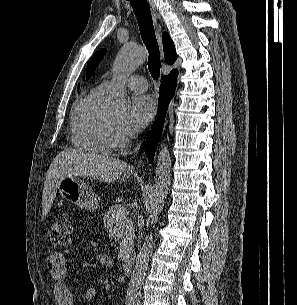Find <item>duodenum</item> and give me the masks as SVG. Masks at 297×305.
Here are the masks:
<instances>
[{"mask_svg":"<svg viewBox=\"0 0 297 305\" xmlns=\"http://www.w3.org/2000/svg\"><path fill=\"white\" fill-rule=\"evenodd\" d=\"M134 263V256L129 254L123 258V270L125 273L130 274L132 272Z\"/></svg>","mask_w":297,"mask_h":305,"instance_id":"410a0bca","label":"duodenum"}]
</instances>
